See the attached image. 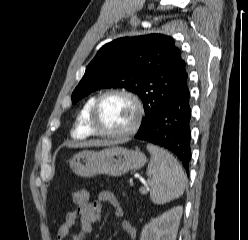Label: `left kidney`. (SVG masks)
<instances>
[{
    "label": "left kidney",
    "instance_id": "obj_1",
    "mask_svg": "<svg viewBox=\"0 0 248 240\" xmlns=\"http://www.w3.org/2000/svg\"><path fill=\"white\" fill-rule=\"evenodd\" d=\"M183 207L177 206L146 224L140 240H176Z\"/></svg>",
    "mask_w": 248,
    "mask_h": 240
}]
</instances>
